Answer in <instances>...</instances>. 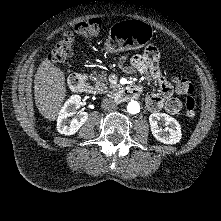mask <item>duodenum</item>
Returning <instances> with one entry per match:
<instances>
[{"instance_id":"duodenum-1","label":"duodenum","mask_w":221,"mask_h":221,"mask_svg":"<svg viewBox=\"0 0 221 221\" xmlns=\"http://www.w3.org/2000/svg\"><path fill=\"white\" fill-rule=\"evenodd\" d=\"M68 86L73 92L83 93L87 90L88 83L82 74L74 73L68 78ZM139 95L140 88L138 86L125 87L119 93V97L124 101L135 99Z\"/></svg>"}]
</instances>
